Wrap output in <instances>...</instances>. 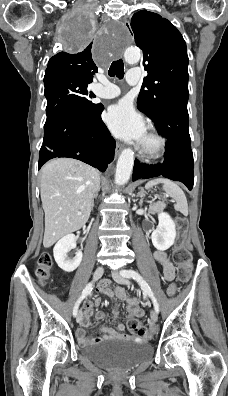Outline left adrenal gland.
<instances>
[{"mask_svg": "<svg viewBox=\"0 0 228 396\" xmlns=\"http://www.w3.org/2000/svg\"><path fill=\"white\" fill-rule=\"evenodd\" d=\"M137 197H140V202L143 201V198L145 197L144 189L140 188V192L137 194Z\"/></svg>", "mask_w": 228, "mask_h": 396, "instance_id": "1", "label": "left adrenal gland"}]
</instances>
